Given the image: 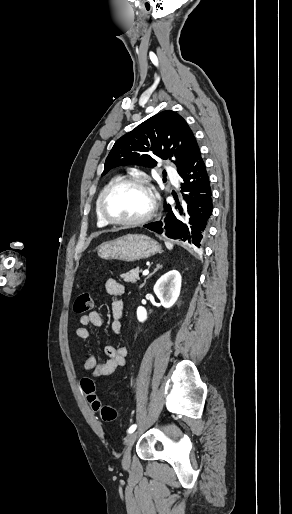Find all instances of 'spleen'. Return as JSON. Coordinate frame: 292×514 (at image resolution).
Listing matches in <instances>:
<instances>
[{
	"instance_id": "obj_1",
	"label": "spleen",
	"mask_w": 292,
	"mask_h": 514,
	"mask_svg": "<svg viewBox=\"0 0 292 514\" xmlns=\"http://www.w3.org/2000/svg\"><path fill=\"white\" fill-rule=\"evenodd\" d=\"M166 244V248H168V250H173V244H171V242H165Z\"/></svg>"
}]
</instances>
